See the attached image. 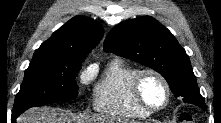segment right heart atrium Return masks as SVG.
Here are the masks:
<instances>
[{
	"label": "right heart atrium",
	"mask_w": 221,
	"mask_h": 123,
	"mask_svg": "<svg viewBox=\"0 0 221 123\" xmlns=\"http://www.w3.org/2000/svg\"><path fill=\"white\" fill-rule=\"evenodd\" d=\"M91 78V72L90 71H83L80 74V80L82 82H87Z\"/></svg>",
	"instance_id": "1"
}]
</instances>
